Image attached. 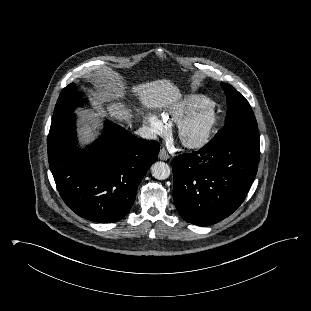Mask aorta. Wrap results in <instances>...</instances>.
Segmentation results:
<instances>
[{"label":"aorta","mask_w":311,"mask_h":311,"mask_svg":"<svg viewBox=\"0 0 311 311\" xmlns=\"http://www.w3.org/2000/svg\"><path fill=\"white\" fill-rule=\"evenodd\" d=\"M152 176L158 180L167 179L170 176L171 170L165 162H155L151 167Z\"/></svg>","instance_id":"1"}]
</instances>
